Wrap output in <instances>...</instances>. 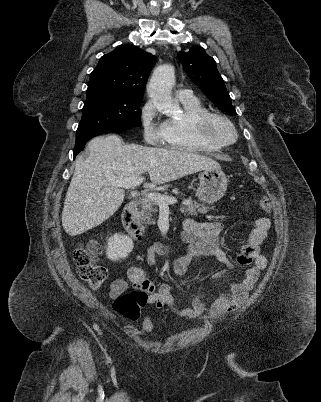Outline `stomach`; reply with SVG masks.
<instances>
[{
    "instance_id": "stomach-1",
    "label": "stomach",
    "mask_w": 321,
    "mask_h": 402,
    "mask_svg": "<svg viewBox=\"0 0 321 402\" xmlns=\"http://www.w3.org/2000/svg\"><path fill=\"white\" fill-rule=\"evenodd\" d=\"M227 183V177L221 168L205 169L200 174V184L196 196L203 203L217 202L225 194Z\"/></svg>"
}]
</instances>
